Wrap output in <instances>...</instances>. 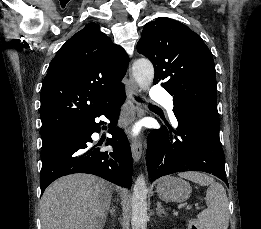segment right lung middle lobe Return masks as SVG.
Returning a JSON list of instances; mask_svg holds the SVG:
<instances>
[{
    "label": "right lung middle lobe",
    "instance_id": "obj_1",
    "mask_svg": "<svg viewBox=\"0 0 261 229\" xmlns=\"http://www.w3.org/2000/svg\"><path fill=\"white\" fill-rule=\"evenodd\" d=\"M59 137H60V133L56 130L41 131L42 147L49 145Z\"/></svg>",
    "mask_w": 261,
    "mask_h": 229
}]
</instances>
